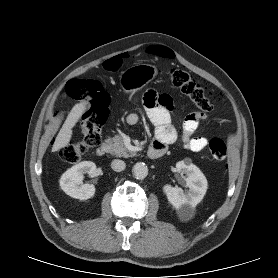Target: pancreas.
<instances>
[{
    "label": "pancreas",
    "instance_id": "obj_1",
    "mask_svg": "<svg viewBox=\"0 0 278 278\" xmlns=\"http://www.w3.org/2000/svg\"><path fill=\"white\" fill-rule=\"evenodd\" d=\"M105 142L108 146V152L112 155L124 158L135 155V152H132L125 147L122 137L119 135H115L113 138H109Z\"/></svg>",
    "mask_w": 278,
    "mask_h": 278
}]
</instances>
